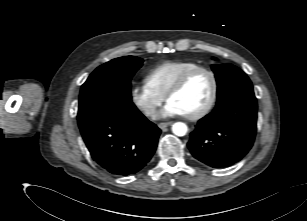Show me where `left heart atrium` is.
Instances as JSON below:
<instances>
[{
  "label": "left heart atrium",
  "mask_w": 307,
  "mask_h": 221,
  "mask_svg": "<svg viewBox=\"0 0 307 221\" xmlns=\"http://www.w3.org/2000/svg\"><path fill=\"white\" fill-rule=\"evenodd\" d=\"M161 116H182L184 115L183 111L174 103L167 102L163 110L160 113Z\"/></svg>",
  "instance_id": "left-heart-atrium-1"
}]
</instances>
